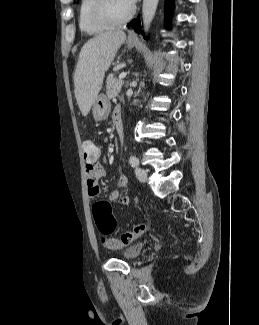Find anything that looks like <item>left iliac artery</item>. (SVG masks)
Returning <instances> with one entry per match:
<instances>
[{
  "mask_svg": "<svg viewBox=\"0 0 259 325\" xmlns=\"http://www.w3.org/2000/svg\"><path fill=\"white\" fill-rule=\"evenodd\" d=\"M133 160H138V158L134 155H131L130 158H129V162L131 164V166L133 165Z\"/></svg>",
  "mask_w": 259,
  "mask_h": 325,
  "instance_id": "1",
  "label": "left iliac artery"
}]
</instances>
